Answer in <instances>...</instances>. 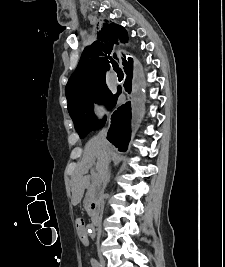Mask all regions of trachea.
Masks as SVG:
<instances>
[{
	"label": "trachea",
	"mask_w": 225,
	"mask_h": 267,
	"mask_svg": "<svg viewBox=\"0 0 225 267\" xmlns=\"http://www.w3.org/2000/svg\"><path fill=\"white\" fill-rule=\"evenodd\" d=\"M112 66L117 74H123L122 70L119 68L117 63H112Z\"/></svg>",
	"instance_id": "obj_1"
}]
</instances>
